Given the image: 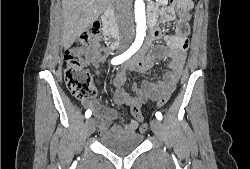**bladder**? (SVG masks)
Masks as SVG:
<instances>
[{"label":"bladder","mask_w":250,"mask_h":169,"mask_svg":"<svg viewBox=\"0 0 250 169\" xmlns=\"http://www.w3.org/2000/svg\"><path fill=\"white\" fill-rule=\"evenodd\" d=\"M143 141L144 135L136 133H100L99 138L101 147L120 157L137 151Z\"/></svg>","instance_id":"31cf9c89"}]
</instances>
